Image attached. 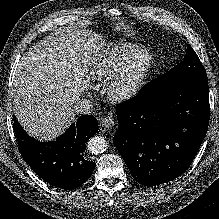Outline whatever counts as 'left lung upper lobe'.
I'll return each mask as SVG.
<instances>
[{"label": "left lung upper lobe", "instance_id": "1", "mask_svg": "<svg viewBox=\"0 0 219 219\" xmlns=\"http://www.w3.org/2000/svg\"><path fill=\"white\" fill-rule=\"evenodd\" d=\"M194 83L208 84V79L199 57L188 45L184 60L168 72L147 83L139 91V94L145 97H153L173 88Z\"/></svg>", "mask_w": 219, "mask_h": 219}]
</instances>
